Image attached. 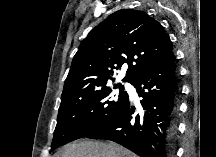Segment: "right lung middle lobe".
<instances>
[{
  "label": "right lung middle lobe",
  "mask_w": 216,
  "mask_h": 157,
  "mask_svg": "<svg viewBox=\"0 0 216 157\" xmlns=\"http://www.w3.org/2000/svg\"><path fill=\"white\" fill-rule=\"evenodd\" d=\"M119 88V94L115 89ZM128 100L123 85L90 90L61 100L52 149L86 137L111 121Z\"/></svg>",
  "instance_id": "dd1d6c3e"
}]
</instances>
